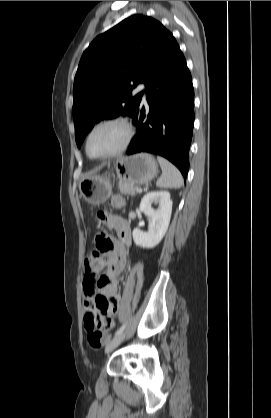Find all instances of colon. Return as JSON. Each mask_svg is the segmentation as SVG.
Returning <instances> with one entry per match:
<instances>
[{
  "instance_id": "1",
  "label": "colon",
  "mask_w": 271,
  "mask_h": 418,
  "mask_svg": "<svg viewBox=\"0 0 271 418\" xmlns=\"http://www.w3.org/2000/svg\"><path fill=\"white\" fill-rule=\"evenodd\" d=\"M115 206L121 205V198L115 196L112 200ZM113 249V243L111 240L104 236H98L96 240V249L93 252L94 259H100L101 253L109 252ZM107 305V300L103 296L96 298V309H104ZM84 324L87 330V339L91 347L99 348L105 342V330L104 322L97 310H89L85 314Z\"/></svg>"
}]
</instances>
